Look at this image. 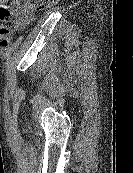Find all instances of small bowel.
I'll use <instances>...</instances> for the list:
<instances>
[{"instance_id": "small-bowel-1", "label": "small bowel", "mask_w": 133, "mask_h": 173, "mask_svg": "<svg viewBox=\"0 0 133 173\" xmlns=\"http://www.w3.org/2000/svg\"><path fill=\"white\" fill-rule=\"evenodd\" d=\"M7 2H11L16 7L19 5V0H0L1 5H3V3L5 4ZM31 18H32L31 12H29V11L19 12L16 17V25L18 27H23L31 21Z\"/></svg>"}]
</instances>
